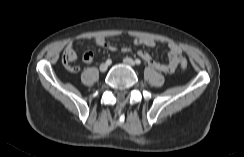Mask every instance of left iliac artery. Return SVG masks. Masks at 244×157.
<instances>
[{
	"label": "left iliac artery",
	"mask_w": 244,
	"mask_h": 157,
	"mask_svg": "<svg viewBox=\"0 0 244 157\" xmlns=\"http://www.w3.org/2000/svg\"><path fill=\"white\" fill-rule=\"evenodd\" d=\"M135 63H136L137 65H140V64H141V60H140V59H136V60H135Z\"/></svg>",
	"instance_id": "44dca946"
}]
</instances>
